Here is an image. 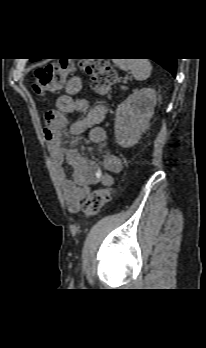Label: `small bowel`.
I'll return each instance as SVG.
<instances>
[{
	"mask_svg": "<svg viewBox=\"0 0 206 348\" xmlns=\"http://www.w3.org/2000/svg\"><path fill=\"white\" fill-rule=\"evenodd\" d=\"M82 83L79 76L68 81L65 92L56 100V109L46 112L42 131L56 178L72 213L80 210L83 199L94 185L113 186L114 176L123 168L121 158L114 153L104 154L101 168L95 162L85 159L76 149L63 146L62 131L66 127L73 136L87 131L89 140L94 144L101 145L106 142V133L100 127L106 115V108L103 104L89 107L86 99L77 96L82 89ZM71 113H85V116L69 124L67 115ZM64 163L72 168V179L67 177Z\"/></svg>",
	"mask_w": 206,
	"mask_h": 348,
	"instance_id": "small-bowel-1",
	"label": "small bowel"
}]
</instances>
